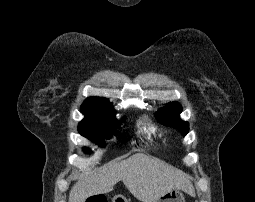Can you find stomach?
<instances>
[{"label":"stomach","instance_id":"stomach-1","mask_svg":"<svg viewBox=\"0 0 255 202\" xmlns=\"http://www.w3.org/2000/svg\"><path fill=\"white\" fill-rule=\"evenodd\" d=\"M112 202H128L127 199L121 195H117L112 199ZM154 202H186L185 195L182 189L172 188L163 193Z\"/></svg>","mask_w":255,"mask_h":202}]
</instances>
